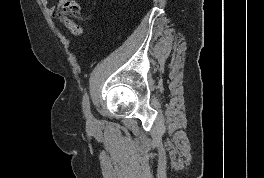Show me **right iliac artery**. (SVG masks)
I'll list each match as a JSON object with an SVG mask.
<instances>
[{"label": "right iliac artery", "mask_w": 264, "mask_h": 178, "mask_svg": "<svg viewBox=\"0 0 264 178\" xmlns=\"http://www.w3.org/2000/svg\"><path fill=\"white\" fill-rule=\"evenodd\" d=\"M83 112L86 116L87 119H89L91 117V113H90V102H89V97L87 95V93L84 95L83 98Z\"/></svg>", "instance_id": "1"}]
</instances>
